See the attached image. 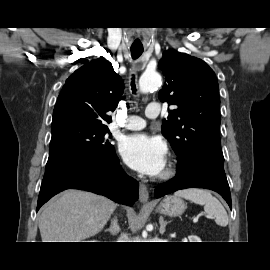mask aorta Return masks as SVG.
<instances>
[{
	"mask_svg": "<svg viewBox=\"0 0 270 270\" xmlns=\"http://www.w3.org/2000/svg\"><path fill=\"white\" fill-rule=\"evenodd\" d=\"M162 84V78L158 73H144L139 79V88L142 93L157 89Z\"/></svg>",
	"mask_w": 270,
	"mask_h": 270,
	"instance_id": "1",
	"label": "aorta"
}]
</instances>
